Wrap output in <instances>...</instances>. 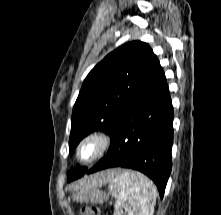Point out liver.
Segmentation results:
<instances>
[{"label": "liver", "instance_id": "obj_1", "mask_svg": "<svg viewBox=\"0 0 221 215\" xmlns=\"http://www.w3.org/2000/svg\"><path fill=\"white\" fill-rule=\"evenodd\" d=\"M117 172L116 170L103 171L90 177L83 178L79 182L72 184L71 187L75 190L99 187L110 182Z\"/></svg>", "mask_w": 221, "mask_h": 215}]
</instances>
